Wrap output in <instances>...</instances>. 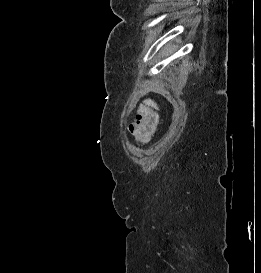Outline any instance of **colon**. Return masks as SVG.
Listing matches in <instances>:
<instances>
[{
  "label": "colon",
  "mask_w": 261,
  "mask_h": 273,
  "mask_svg": "<svg viewBox=\"0 0 261 273\" xmlns=\"http://www.w3.org/2000/svg\"><path fill=\"white\" fill-rule=\"evenodd\" d=\"M158 121L157 114L146 106H141L134 122L129 127V133L137 142H146L155 131Z\"/></svg>",
  "instance_id": "1"
}]
</instances>
